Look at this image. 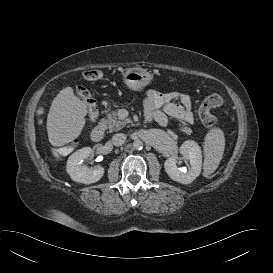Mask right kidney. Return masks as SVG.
Here are the masks:
<instances>
[{
	"label": "right kidney",
	"instance_id": "ca27d5eb",
	"mask_svg": "<svg viewBox=\"0 0 273 273\" xmlns=\"http://www.w3.org/2000/svg\"><path fill=\"white\" fill-rule=\"evenodd\" d=\"M92 155L90 147H84L74 152L67 161L66 170L71 179L83 184H91L99 181L104 175V168H89L83 164L84 159Z\"/></svg>",
	"mask_w": 273,
	"mask_h": 273
}]
</instances>
